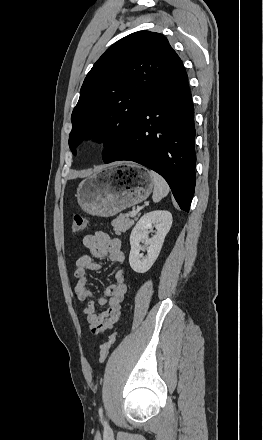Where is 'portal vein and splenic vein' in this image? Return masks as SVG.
I'll list each match as a JSON object with an SVG mask.
<instances>
[{"label":"portal vein and splenic vein","instance_id":"obj_1","mask_svg":"<svg viewBox=\"0 0 263 440\" xmlns=\"http://www.w3.org/2000/svg\"><path fill=\"white\" fill-rule=\"evenodd\" d=\"M136 214H137V211L135 210V208H133L131 213H130L131 217L136 216Z\"/></svg>","mask_w":263,"mask_h":440}]
</instances>
